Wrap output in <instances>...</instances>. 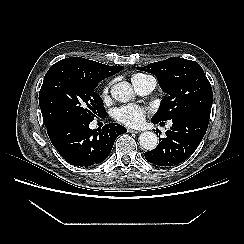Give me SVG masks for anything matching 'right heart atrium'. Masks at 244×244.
Listing matches in <instances>:
<instances>
[{"label":"right heart atrium","instance_id":"right-heart-atrium-1","mask_svg":"<svg viewBox=\"0 0 244 244\" xmlns=\"http://www.w3.org/2000/svg\"><path fill=\"white\" fill-rule=\"evenodd\" d=\"M108 96V86H106L102 91V98L105 100Z\"/></svg>","mask_w":244,"mask_h":244}]
</instances>
